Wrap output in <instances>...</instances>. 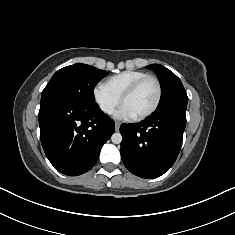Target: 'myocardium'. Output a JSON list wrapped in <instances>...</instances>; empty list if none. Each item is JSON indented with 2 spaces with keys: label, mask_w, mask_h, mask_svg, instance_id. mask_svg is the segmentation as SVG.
<instances>
[{
  "label": "myocardium",
  "mask_w": 235,
  "mask_h": 235,
  "mask_svg": "<svg viewBox=\"0 0 235 235\" xmlns=\"http://www.w3.org/2000/svg\"><path fill=\"white\" fill-rule=\"evenodd\" d=\"M147 80H153L155 83H156V86H157V97H156V101L155 103L153 104V106L148 109L147 111H145L144 113L142 114H139L137 116H135V118L137 120H142V119H145L147 117H149L150 115H152L156 110L157 108L159 107L160 105V102H161V99H162V85H161V82L160 80L154 76V75H146L142 78H140L139 80H137L136 82H134L121 96L120 98V102L121 104H123L124 100L128 97H130L131 95H133L139 88L140 86L145 83Z\"/></svg>",
  "instance_id": "obj_1"
}]
</instances>
